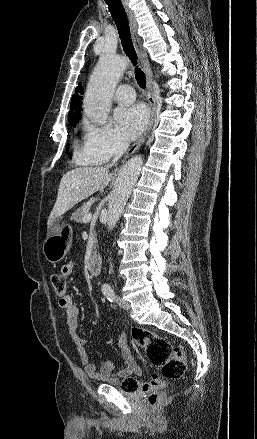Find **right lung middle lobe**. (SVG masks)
Segmentation results:
<instances>
[{"mask_svg": "<svg viewBox=\"0 0 257 439\" xmlns=\"http://www.w3.org/2000/svg\"><path fill=\"white\" fill-rule=\"evenodd\" d=\"M80 113H69L68 120L71 126H76L77 122L80 120Z\"/></svg>", "mask_w": 257, "mask_h": 439, "instance_id": "obj_1", "label": "right lung middle lobe"}]
</instances>
